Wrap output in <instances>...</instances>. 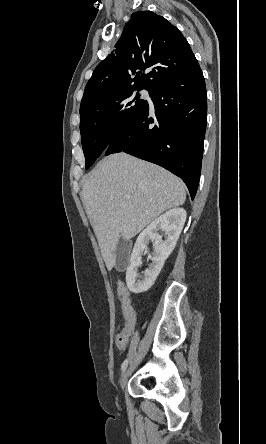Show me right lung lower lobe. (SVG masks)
Here are the masks:
<instances>
[{
  "instance_id": "obj_1",
  "label": "right lung lower lobe",
  "mask_w": 266,
  "mask_h": 444,
  "mask_svg": "<svg viewBox=\"0 0 266 444\" xmlns=\"http://www.w3.org/2000/svg\"><path fill=\"white\" fill-rule=\"evenodd\" d=\"M149 94L153 106L123 129L104 152H125L164 167L185 182L194 199L207 122L206 87L199 64Z\"/></svg>"
}]
</instances>
